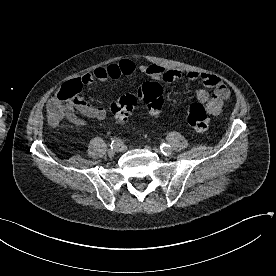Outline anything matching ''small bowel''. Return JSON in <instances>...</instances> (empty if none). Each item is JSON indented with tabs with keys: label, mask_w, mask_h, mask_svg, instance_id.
<instances>
[{
	"label": "small bowel",
	"mask_w": 276,
	"mask_h": 276,
	"mask_svg": "<svg viewBox=\"0 0 276 276\" xmlns=\"http://www.w3.org/2000/svg\"><path fill=\"white\" fill-rule=\"evenodd\" d=\"M136 71L154 80H161L166 83L182 79L200 81L204 86L212 89V95L210 96L204 89H199L196 92V103L202 104L205 110L211 115H218L222 111L224 103L230 98L229 89L216 75L196 71L185 73L177 69L164 68L156 64H141L137 66L131 59H122L118 63L97 67L92 73L84 74L78 80L82 86H87L94 81L105 82L110 79H119L122 76H129ZM49 107L50 102L48 104ZM74 110L89 119L98 121L104 120L107 116V111L104 107L89 104L82 95L74 104L72 111L66 116L73 124L85 126L86 122L78 117Z\"/></svg>",
	"instance_id": "c3829d8e"
}]
</instances>
